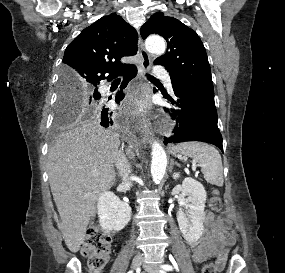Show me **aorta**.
Here are the masks:
<instances>
[{
	"label": "aorta",
	"mask_w": 285,
	"mask_h": 273,
	"mask_svg": "<svg viewBox=\"0 0 285 273\" xmlns=\"http://www.w3.org/2000/svg\"><path fill=\"white\" fill-rule=\"evenodd\" d=\"M146 48L149 52L161 55L165 52L166 45L163 38L159 36H151L145 42ZM152 162H151V175L153 181L159 184L163 179L166 167L167 156L164 148L157 142L152 144Z\"/></svg>",
	"instance_id": "1"
}]
</instances>
